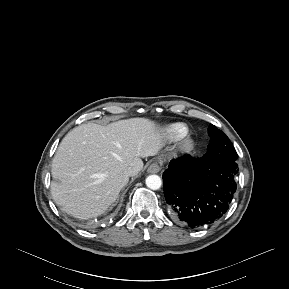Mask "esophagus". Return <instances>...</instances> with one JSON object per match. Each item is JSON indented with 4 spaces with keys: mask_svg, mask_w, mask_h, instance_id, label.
Wrapping results in <instances>:
<instances>
[{
    "mask_svg": "<svg viewBox=\"0 0 289 289\" xmlns=\"http://www.w3.org/2000/svg\"><path fill=\"white\" fill-rule=\"evenodd\" d=\"M161 170V166L158 163H152L148 169V173H158Z\"/></svg>",
    "mask_w": 289,
    "mask_h": 289,
    "instance_id": "obj_1",
    "label": "esophagus"
}]
</instances>
